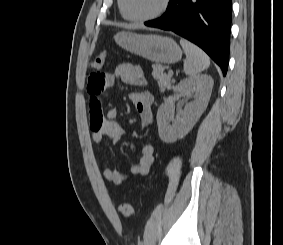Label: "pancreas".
<instances>
[{
  "mask_svg": "<svg viewBox=\"0 0 283 245\" xmlns=\"http://www.w3.org/2000/svg\"><path fill=\"white\" fill-rule=\"evenodd\" d=\"M165 67L159 64L153 65V77L157 80L161 91H165L170 84L171 75L164 72Z\"/></svg>",
  "mask_w": 283,
  "mask_h": 245,
  "instance_id": "pancreas-1",
  "label": "pancreas"
}]
</instances>
